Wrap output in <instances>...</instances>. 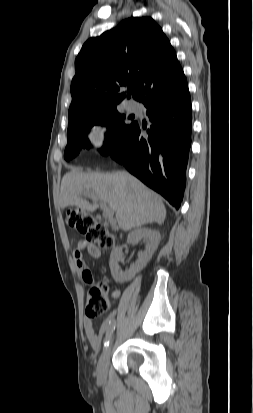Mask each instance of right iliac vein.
<instances>
[{"label": "right iliac vein", "instance_id": "63e3f726", "mask_svg": "<svg viewBox=\"0 0 253 413\" xmlns=\"http://www.w3.org/2000/svg\"><path fill=\"white\" fill-rule=\"evenodd\" d=\"M113 341V339H112ZM112 341L111 345L106 348L104 353L101 355L98 365H97V376L100 380H104L106 378L107 374V367L109 363V357H110V352H111V346H112Z\"/></svg>", "mask_w": 253, "mask_h": 413}]
</instances>
